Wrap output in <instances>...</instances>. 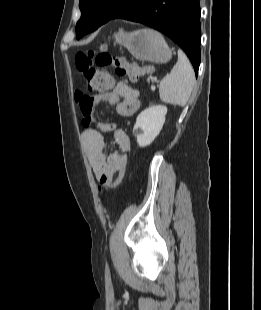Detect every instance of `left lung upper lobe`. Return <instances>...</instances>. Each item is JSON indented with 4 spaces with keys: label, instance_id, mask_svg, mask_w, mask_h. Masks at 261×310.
I'll return each mask as SVG.
<instances>
[{
    "label": "left lung upper lobe",
    "instance_id": "left-lung-upper-lobe-1",
    "mask_svg": "<svg viewBox=\"0 0 261 310\" xmlns=\"http://www.w3.org/2000/svg\"><path fill=\"white\" fill-rule=\"evenodd\" d=\"M132 0H80L81 18L76 25L77 39L87 34L93 24H104L119 18L130 7Z\"/></svg>",
    "mask_w": 261,
    "mask_h": 310
}]
</instances>
